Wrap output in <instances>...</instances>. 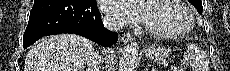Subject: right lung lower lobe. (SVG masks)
Instances as JSON below:
<instances>
[{
  "label": "right lung lower lobe",
  "instance_id": "obj_1",
  "mask_svg": "<svg viewBox=\"0 0 230 71\" xmlns=\"http://www.w3.org/2000/svg\"><path fill=\"white\" fill-rule=\"evenodd\" d=\"M75 33L103 46H111L118 34L106 29L96 0H35L23 35L24 49L39 38Z\"/></svg>",
  "mask_w": 230,
  "mask_h": 71
}]
</instances>
